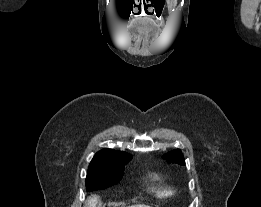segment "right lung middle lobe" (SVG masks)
Returning a JSON list of instances; mask_svg holds the SVG:
<instances>
[{
    "label": "right lung middle lobe",
    "mask_w": 261,
    "mask_h": 207,
    "mask_svg": "<svg viewBox=\"0 0 261 207\" xmlns=\"http://www.w3.org/2000/svg\"><path fill=\"white\" fill-rule=\"evenodd\" d=\"M130 159L131 158L121 160L111 166L89 167L86 177L87 190L95 191L117 184L123 177L124 165H126Z\"/></svg>",
    "instance_id": "1"
}]
</instances>
